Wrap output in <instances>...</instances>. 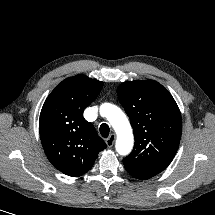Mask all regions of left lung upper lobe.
<instances>
[{
	"label": "left lung upper lobe",
	"mask_w": 215,
	"mask_h": 215,
	"mask_svg": "<svg viewBox=\"0 0 215 215\" xmlns=\"http://www.w3.org/2000/svg\"><path fill=\"white\" fill-rule=\"evenodd\" d=\"M120 103L134 131V149L123 160L127 172L147 180L162 172L178 149L182 119L172 95L154 80L122 83L117 89Z\"/></svg>",
	"instance_id": "left-lung-upper-lobe-1"
}]
</instances>
